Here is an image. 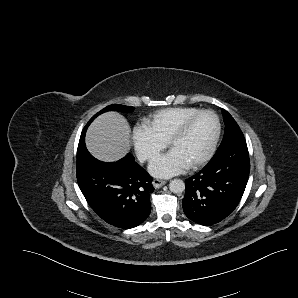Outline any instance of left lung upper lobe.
I'll use <instances>...</instances> for the list:
<instances>
[{
  "label": "left lung upper lobe",
  "instance_id": "obj_1",
  "mask_svg": "<svg viewBox=\"0 0 298 298\" xmlns=\"http://www.w3.org/2000/svg\"><path fill=\"white\" fill-rule=\"evenodd\" d=\"M222 114L225 123V132L223 140L217 152L224 150L227 146L235 142L245 140L241 129L239 128L238 124L233 119V117L224 109H222Z\"/></svg>",
  "mask_w": 298,
  "mask_h": 298
}]
</instances>
